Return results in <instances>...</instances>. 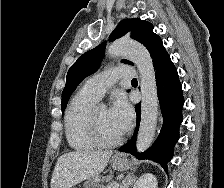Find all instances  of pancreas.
I'll return each mask as SVG.
<instances>
[{
  "mask_svg": "<svg viewBox=\"0 0 224 188\" xmlns=\"http://www.w3.org/2000/svg\"><path fill=\"white\" fill-rule=\"evenodd\" d=\"M110 179L111 177H100V176L92 177L91 179L87 180L84 183V188H105V186H102L100 184V181Z\"/></svg>",
  "mask_w": 224,
  "mask_h": 188,
  "instance_id": "1",
  "label": "pancreas"
}]
</instances>
